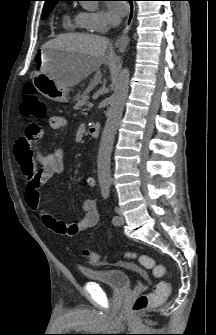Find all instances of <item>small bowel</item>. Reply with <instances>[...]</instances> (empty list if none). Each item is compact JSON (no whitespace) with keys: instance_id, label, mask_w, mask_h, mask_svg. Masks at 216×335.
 Instances as JSON below:
<instances>
[{"instance_id":"small-bowel-1","label":"small bowel","mask_w":216,"mask_h":335,"mask_svg":"<svg viewBox=\"0 0 216 335\" xmlns=\"http://www.w3.org/2000/svg\"><path fill=\"white\" fill-rule=\"evenodd\" d=\"M49 123L53 130H61L67 122L63 116L56 115L50 118ZM24 135L27 136H22L16 146V156L26 179L24 197L30 210L38 216L45 227L59 235L75 236L95 227L99 221V212L93 199L84 201L82 217L70 223L56 219L41 208L39 190L50 178L64 170L65 152L63 148H58L52 153L43 154L33 147L40 138H44L42 124H25ZM84 183L86 187L92 188L96 181L93 176H88Z\"/></svg>"}]
</instances>
